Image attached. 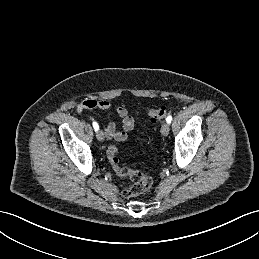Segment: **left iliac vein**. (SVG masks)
<instances>
[{
	"label": "left iliac vein",
	"instance_id": "1",
	"mask_svg": "<svg viewBox=\"0 0 259 259\" xmlns=\"http://www.w3.org/2000/svg\"><path fill=\"white\" fill-rule=\"evenodd\" d=\"M170 127L169 124L164 122L161 126V133L163 136H167L169 134Z\"/></svg>",
	"mask_w": 259,
	"mask_h": 259
}]
</instances>
